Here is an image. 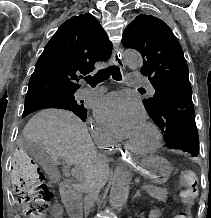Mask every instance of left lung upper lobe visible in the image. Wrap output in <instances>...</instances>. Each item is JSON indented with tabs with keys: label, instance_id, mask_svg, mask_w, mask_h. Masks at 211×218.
<instances>
[{
	"label": "left lung upper lobe",
	"instance_id": "5c2ea615",
	"mask_svg": "<svg viewBox=\"0 0 211 218\" xmlns=\"http://www.w3.org/2000/svg\"><path fill=\"white\" fill-rule=\"evenodd\" d=\"M122 44L143 57L141 73L148 77L154 95L142 102L167 147L197 156L199 138L188 66L170 27L159 18L141 14L126 27Z\"/></svg>",
	"mask_w": 211,
	"mask_h": 218
}]
</instances>
